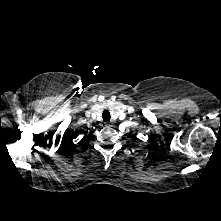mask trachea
I'll return each mask as SVG.
<instances>
[{"label":"trachea","instance_id":"3493384b","mask_svg":"<svg viewBox=\"0 0 221 221\" xmlns=\"http://www.w3.org/2000/svg\"><path fill=\"white\" fill-rule=\"evenodd\" d=\"M102 118H103L104 122H106V121L109 122L110 118H111L110 112L108 110L103 111Z\"/></svg>","mask_w":221,"mask_h":221}]
</instances>
